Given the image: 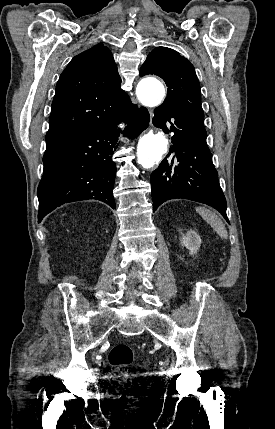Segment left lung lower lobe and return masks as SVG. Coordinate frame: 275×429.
Segmentation results:
<instances>
[{
    "instance_id": "1",
    "label": "left lung lower lobe",
    "mask_w": 275,
    "mask_h": 429,
    "mask_svg": "<svg viewBox=\"0 0 275 429\" xmlns=\"http://www.w3.org/2000/svg\"><path fill=\"white\" fill-rule=\"evenodd\" d=\"M153 124L172 133V146L151 174L153 211L163 202L184 198L216 208L229 223L204 124L165 105L154 111Z\"/></svg>"
}]
</instances>
